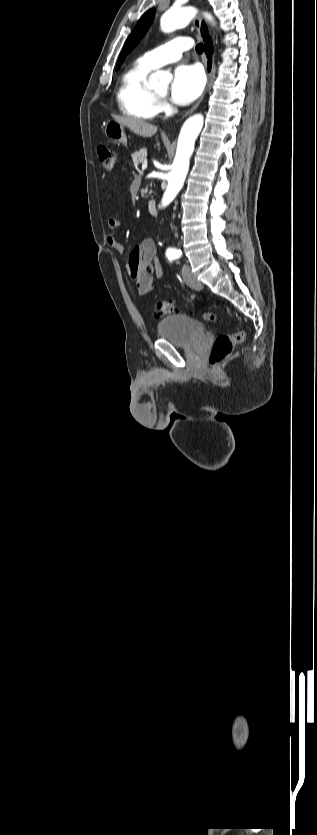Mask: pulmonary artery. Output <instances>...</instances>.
Instances as JSON below:
<instances>
[{
  "mask_svg": "<svg viewBox=\"0 0 317 835\" xmlns=\"http://www.w3.org/2000/svg\"><path fill=\"white\" fill-rule=\"evenodd\" d=\"M192 47V41L188 37H177L164 43L142 56V60L152 68H157L169 62L179 60L184 51Z\"/></svg>",
  "mask_w": 317,
  "mask_h": 835,
  "instance_id": "1",
  "label": "pulmonary artery"
}]
</instances>
